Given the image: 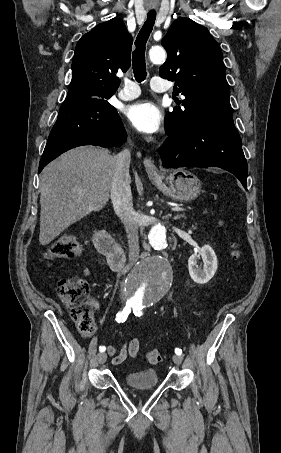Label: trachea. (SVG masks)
Segmentation results:
<instances>
[{
	"mask_svg": "<svg viewBox=\"0 0 281 453\" xmlns=\"http://www.w3.org/2000/svg\"><path fill=\"white\" fill-rule=\"evenodd\" d=\"M156 19V12H148L147 19L141 28L136 41L135 50L132 57L133 73L137 82H142L146 79V62H145V49L146 42L150 36L151 31Z\"/></svg>",
	"mask_w": 281,
	"mask_h": 453,
	"instance_id": "3493384b",
	"label": "trachea"
}]
</instances>
